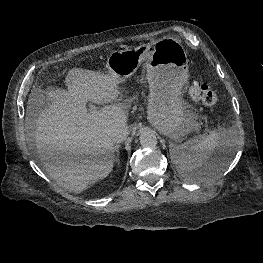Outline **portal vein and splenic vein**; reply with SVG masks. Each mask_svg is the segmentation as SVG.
I'll return each mask as SVG.
<instances>
[{
	"label": "portal vein and splenic vein",
	"mask_w": 263,
	"mask_h": 263,
	"mask_svg": "<svg viewBox=\"0 0 263 263\" xmlns=\"http://www.w3.org/2000/svg\"><path fill=\"white\" fill-rule=\"evenodd\" d=\"M89 107L91 112H94L96 110V107L92 104H89Z\"/></svg>",
	"instance_id": "18ae733b"
}]
</instances>
